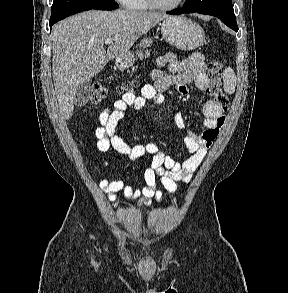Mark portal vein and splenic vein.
Masks as SVG:
<instances>
[{"mask_svg":"<svg viewBox=\"0 0 288 293\" xmlns=\"http://www.w3.org/2000/svg\"><path fill=\"white\" fill-rule=\"evenodd\" d=\"M114 40H116V39L115 38H107V39H105V44L109 45V44L113 43Z\"/></svg>","mask_w":288,"mask_h":293,"instance_id":"portal-vein-and-splenic-vein-1","label":"portal vein and splenic vein"}]
</instances>
